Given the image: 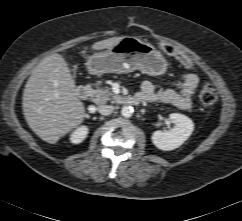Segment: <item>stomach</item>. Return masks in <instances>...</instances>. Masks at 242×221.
Listing matches in <instances>:
<instances>
[{
	"label": "stomach",
	"instance_id": "obj_1",
	"mask_svg": "<svg viewBox=\"0 0 242 221\" xmlns=\"http://www.w3.org/2000/svg\"><path fill=\"white\" fill-rule=\"evenodd\" d=\"M86 65L94 75L140 70L150 76H161L166 73L168 63L154 46L136 37L124 36L107 50L91 55Z\"/></svg>",
	"mask_w": 242,
	"mask_h": 221
}]
</instances>
